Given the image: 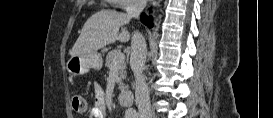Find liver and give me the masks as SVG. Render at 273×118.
Segmentation results:
<instances>
[{
	"mask_svg": "<svg viewBox=\"0 0 273 118\" xmlns=\"http://www.w3.org/2000/svg\"><path fill=\"white\" fill-rule=\"evenodd\" d=\"M130 20L131 17L128 14L113 10H101L93 14L85 22L70 54L72 56L85 55L96 52L116 40L128 41L129 32L124 30L119 34V28L128 24Z\"/></svg>",
	"mask_w": 273,
	"mask_h": 118,
	"instance_id": "6515ba94",
	"label": "liver"
}]
</instances>
